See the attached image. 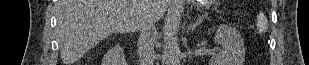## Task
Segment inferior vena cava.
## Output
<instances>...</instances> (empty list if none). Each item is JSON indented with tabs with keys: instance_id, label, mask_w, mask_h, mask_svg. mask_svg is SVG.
Returning a JSON list of instances; mask_svg holds the SVG:
<instances>
[{
	"instance_id": "inferior-vena-cava-1",
	"label": "inferior vena cava",
	"mask_w": 309,
	"mask_h": 65,
	"mask_svg": "<svg viewBox=\"0 0 309 65\" xmlns=\"http://www.w3.org/2000/svg\"><path fill=\"white\" fill-rule=\"evenodd\" d=\"M139 31L138 55L140 65H154L155 21L152 18L145 20Z\"/></svg>"
}]
</instances>
